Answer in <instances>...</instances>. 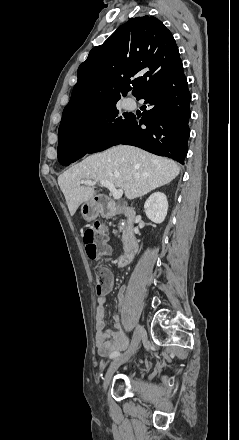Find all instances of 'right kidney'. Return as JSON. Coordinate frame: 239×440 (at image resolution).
<instances>
[{"label": "right kidney", "instance_id": "1", "mask_svg": "<svg viewBox=\"0 0 239 440\" xmlns=\"http://www.w3.org/2000/svg\"><path fill=\"white\" fill-rule=\"evenodd\" d=\"M144 210L151 222L162 224L168 212V202L165 194H162V192L151 194L144 204Z\"/></svg>", "mask_w": 239, "mask_h": 440}]
</instances>
